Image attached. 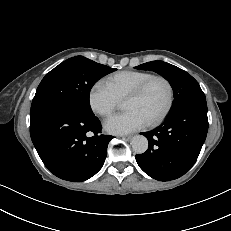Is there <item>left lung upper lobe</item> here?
<instances>
[{
	"mask_svg": "<svg viewBox=\"0 0 231 231\" xmlns=\"http://www.w3.org/2000/svg\"><path fill=\"white\" fill-rule=\"evenodd\" d=\"M135 68L154 71L169 81L174 93L171 111L176 109L186 98L204 94L198 82L190 74L169 63L157 60L141 64Z\"/></svg>",
	"mask_w": 231,
	"mask_h": 231,
	"instance_id": "1",
	"label": "left lung upper lobe"
}]
</instances>
